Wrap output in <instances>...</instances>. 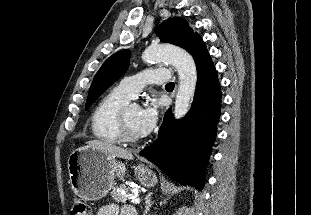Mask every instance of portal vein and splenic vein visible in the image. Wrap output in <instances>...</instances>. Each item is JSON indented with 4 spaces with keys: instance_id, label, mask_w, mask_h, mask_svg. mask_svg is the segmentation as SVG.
<instances>
[{
    "instance_id": "portal-vein-and-splenic-vein-1",
    "label": "portal vein and splenic vein",
    "mask_w": 311,
    "mask_h": 215,
    "mask_svg": "<svg viewBox=\"0 0 311 215\" xmlns=\"http://www.w3.org/2000/svg\"><path fill=\"white\" fill-rule=\"evenodd\" d=\"M130 199H131V202H132L133 204H139V203H140V199H139V198L131 197Z\"/></svg>"
}]
</instances>
